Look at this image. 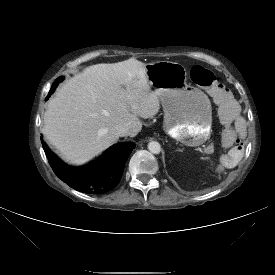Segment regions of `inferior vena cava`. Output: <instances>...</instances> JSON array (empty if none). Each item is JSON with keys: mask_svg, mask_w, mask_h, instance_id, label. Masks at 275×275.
<instances>
[{"mask_svg": "<svg viewBox=\"0 0 275 275\" xmlns=\"http://www.w3.org/2000/svg\"><path fill=\"white\" fill-rule=\"evenodd\" d=\"M111 134L118 138L130 134V127L127 124H119L111 130Z\"/></svg>", "mask_w": 275, "mask_h": 275, "instance_id": "obj_1", "label": "inferior vena cava"}]
</instances>
